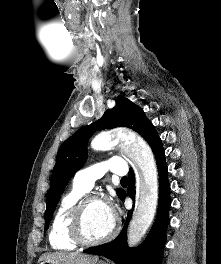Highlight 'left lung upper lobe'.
I'll return each instance as SVG.
<instances>
[{
    "mask_svg": "<svg viewBox=\"0 0 221 264\" xmlns=\"http://www.w3.org/2000/svg\"><path fill=\"white\" fill-rule=\"evenodd\" d=\"M128 127L139 133L150 145L152 151L161 142L152 123L144 111L127 98L119 97L113 109L105 111L101 119L76 131L59 148L56 165L53 168L50 189L46 194L45 229L71 177L87 159V143L96 130ZM122 189H117L121 198Z\"/></svg>",
    "mask_w": 221,
    "mask_h": 264,
    "instance_id": "left-lung-upper-lobe-1",
    "label": "left lung upper lobe"
}]
</instances>
